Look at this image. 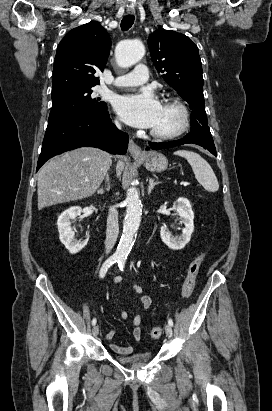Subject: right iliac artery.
Listing matches in <instances>:
<instances>
[{"label":"right iliac artery","mask_w":272,"mask_h":411,"mask_svg":"<svg viewBox=\"0 0 272 411\" xmlns=\"http://www.w3.org/2000/svg\"><path fill=\"white\" fill-rule=\"evenodd\" d=\"M119 260V257L116 256H111L108 258L102 265L99 276L103 278L106 275L107 270L109 269L110 266H112L114 263H116ZM97 322L96 318L92 320V325H95Z\"/></svg>","instance_id":"1"}]
</instances>
